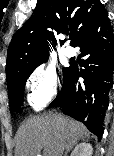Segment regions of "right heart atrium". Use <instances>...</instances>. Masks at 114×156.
<instances>
[{
    "mask_svg": "<svg viewBox=\"0 0 114 156\" xmlns=\"http://www.w3.org/2000/svg\"><path fill=\"white\" fill-rule=\"evenodd\" d=\"M60 78L52 66L36 67L26 82L27 101L34 110H41L58 94Z\"/></svg>",
    "mask_w": 114,
    "mask_h": 156,
    "instance_id": "d8ad5b80",
    "label": "right heart atrium"
}]
</instances>
